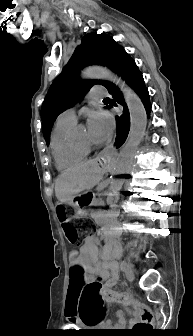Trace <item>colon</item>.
Wrapping results in <instances>:
<instances>
[{
	"instance_id": "1",
	"label": "colon",
	"mask_w": 193,
	"mask_h": 336,
	"mask_svg": "<svg viewBox=\"0 0 193 336\" xmlns=\"http://www.w3.org/2000/svg\"><path fill=\"white\" fill-rule=\"evenodd\" d=\"M58 217L64 230L67 240L72 244H77L80 241L81 233L91 226L90 221H85L82 224L75 223L73 214L64 207L58 208ZM73 276L79 286V314L83 321H90L91 307L87 301L91 298H100L103 294V285L99 281L85 282L81 277V268L75 266L72 270ZM132 308L139 314V321L131 330L132 336H141L153 328L154 313L142 303H131ZM98 322V320H95Z\"/></svg>"
}]
</instances>
